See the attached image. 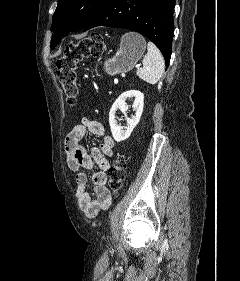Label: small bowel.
Listing matches in <instances>:
<instances>
[{
	"label": "small bowel",
	"instance_id": "small-bowel-1",
	"mask_svg": "<svg viewBox=\"0 0 240 281\" xmlns=\"http://www.w3.org/2000/svg\"><path fill=\"white\" fill-rule=\"evenodd\" d=\"M91 133L102 139L99 147L87 152L83 139ZM114 140L106 133L100 122L84 117L80 124L73 127L65 139L67 166L76 173V197L86 217L95 218L109 208L112 196L106 187L107 171L110 168L109 157L114 154ZM82 169L91 171L92 186L88 187V177Z\"/></svg>",
	"mask_w": 240,
	"mask_h": 281
}]
</instances>
